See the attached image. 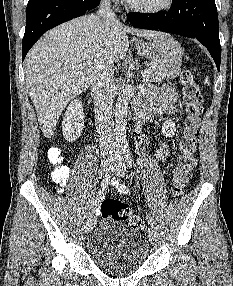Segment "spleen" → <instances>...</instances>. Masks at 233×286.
<instances>
[{
  "mask_svg": "<svg viewBox=\"0 0 233 286\" xmlns=\"http://www.w3.org/2000/svg\"><path fill=\"white\" fill-rule=\"evenodd\" d=\"M205 85L207 84L208 86L210 85V80H209V77L207 76L206 78H205Z\"/></svg>",
  "mask_w": 233,
  "mask_h": 286,
  "instance_id": "obj_1",
  "label": "spleen"
}]
</instances>
